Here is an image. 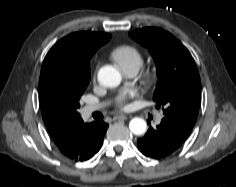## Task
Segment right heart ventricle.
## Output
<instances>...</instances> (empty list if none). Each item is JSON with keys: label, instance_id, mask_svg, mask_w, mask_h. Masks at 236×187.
<instances>
[{"label": "right heart ventricle", "instance_id": "1", "mask_svg": "<svg viewBox=\"0 0 236 187\" xmlns=\"http://www.w3.org/2000/svg\"><path fill=\"white\" fill-rule=\"evenodd\" d=\"M110 56L126 74L130 72L137 73L144 62L142 53L131 45H120L115 47L111 51Z\"/></svg>", "mask_w": 236, "mask_h": 187}]
</instances>
